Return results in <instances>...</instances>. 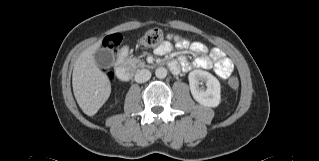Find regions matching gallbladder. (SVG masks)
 Instances as JSON below:
<instances>
[{
    "label": "gallbladder",
    "instance_id": "bac80fb5",
    "mask_svg": "<svg viewBox=\"0 0 319 161\" xmlns=\"http://www.w3.org/2000/svg\"><path fill=\"white\" fill-rule=\"evenodd\" d=\"M95 63L100 68H110L114 62V56L109 49H100L94 54Z\"/></svg>",
    "mask_w": 319,
    "mask_h": 161
}]
</instances>
